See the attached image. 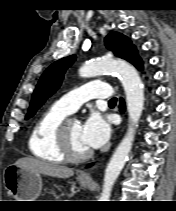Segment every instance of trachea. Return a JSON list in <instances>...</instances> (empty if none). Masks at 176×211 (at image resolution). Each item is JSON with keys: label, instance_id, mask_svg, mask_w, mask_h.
<instances>
[{"label": "trachea", "instance_id": "trachea-1", "mask_svg": "<svg viewBox=\"0 0 176 211\" xmlns=\"http://www.w3.org/2000/svg\"><path fill=\"white\" fill-rule=\"evenodd\" d=\"M117 102V98L113 97L112 99H110L109 104H116Z\"/></svg>", "mask_w": 176, "mask_h": 211}]
</instances>
